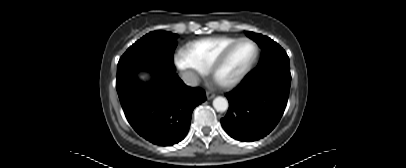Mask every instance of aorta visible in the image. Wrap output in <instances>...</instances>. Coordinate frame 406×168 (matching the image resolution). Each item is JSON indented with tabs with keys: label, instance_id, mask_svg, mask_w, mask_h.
<instances>
[{
	"label": "aorta",
	"instance_id": "aorta-1",
	"mask_svg": "<svg viewBox=\"0 0 406 168\" xmlns=\"http://www.w3.org/2000/svg\"><path fill=\"white\" fill-rule=\"evenodd\" d=\"M213 107L218 112H225L229 107L228 100L224 97H216L213 100Z\"/></svg>",
	"mask_w": 406,
	"mask_h": 168
}]
</instances>
